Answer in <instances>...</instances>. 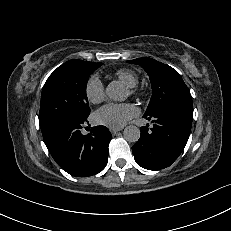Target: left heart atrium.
I'll list each match as a JSON object with an SVG mask.
<instances>
[{"label": "left heart atrium", "instance_id": "1", "mask_svg": "<svg viewBox=\"0 0 231 231\" xmlns=\"http://www.w3.org/2000/svg\"><path fill=\"white\" fill-rule=\"evenodd\" d=\"M135 115L136 109L129 103H108L96 111L94 121L98 125L118 129Z\"/></svg>", "mask_w": 231, "mask_h": 231}]
</instances>
